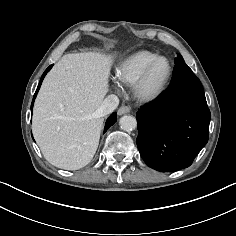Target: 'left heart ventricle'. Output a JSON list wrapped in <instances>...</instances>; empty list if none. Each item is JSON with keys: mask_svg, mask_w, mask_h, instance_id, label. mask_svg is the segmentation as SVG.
<instances>
[{"mask_svg": "<svg viewBox=\"0 0 236 236\" xmlns=\"http://www.w3.org/2000/svg\"><path fill=\"white\" fill-rule=\"evenodd\" d=\"M167 72V63L165 61H160L155 68L152 70L147 84L146 88L149 91L155 90L163 81L165 78Z\"/></svg>", "mask_w": 236, "mask_h": 236, "instance_id": "left-heart-ventricle-1", "label": "left heart ventricle"}]
</instances>
